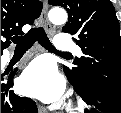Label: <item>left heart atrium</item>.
I'll return each instance as SVG.
<instances>
[{
    "label": "left heart atrium",
    "instance_id": "left-heart-atrium-1",
    "mask_svg": "<svg viewBox=\"0 0 121 113\" xmlns=\"http://www.w3.org/2000/svg\"><path fill=\"white\" fill-rule=\"evenodd\" d=\"M21 88L31 96L52 102L59 99L64 92V80L53 63L38 59L24 72Z\"/></svg>",
    "mask_w": 121,
    "mask_h": 113
}]
</instances>
